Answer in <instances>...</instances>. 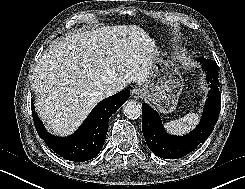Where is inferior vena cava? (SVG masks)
Wrapping results in <instances>:
<instances>
[{
    "instance_id": "602c4592",
    "label": "inferior vena cava",
    "mask_w": 245,
    "mask_h": 189,
    "mask_svg": "<svg viewBox=\"0 0 245 189\" xmlns=\"http://www.w3.org/2000/svg\"><path fill=\"white\" fill-rule=\"evenodd\" d=\"M118 91H120L119 87L111 86L104 91V95L105 96H111V95L117 93Z\"/></svg>"
}]
</instances>
